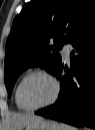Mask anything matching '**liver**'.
Listing matches in <instances>:
<instances>
[{
	"instance_id": "1",
	"label": "liver",
	"mask_w": 95,
	"mask_h": 130,
	"mask_svg": "<svg viewBox=\"0 0 95 130\" xmlns=\"http://www.w3.org/2000/svg\"><path fill=\"white\" fill-rule=\"evenodd\" d=\"M40 117L34 114H12L7 118L8 130H23L31 121Z\"/></svg>"
}]
</instances>
